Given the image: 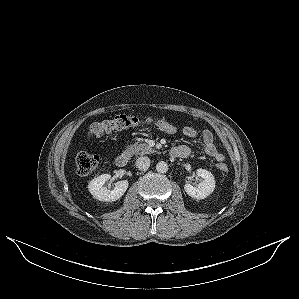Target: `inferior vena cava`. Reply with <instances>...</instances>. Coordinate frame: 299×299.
<instances>
[{"label":"inferior vena cava","instance_id":"obj_1","mask_svg":"<svg viewBox=\"0 0 299 299\" xmlns=\"http://www.w3.org/2000/svg\"><path fill=\"white\" fill-rule=\"evenodd\" d=\"M136 167L139 169V170H146L149 168L150 166V159L149 157L147 156H144V157H139L136 162Z\"/></svg>","mask_w":299,"mask_h":299}]
</instances>
